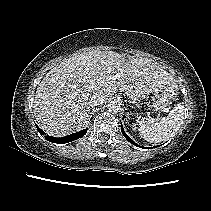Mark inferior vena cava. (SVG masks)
I'll return each instance as SVG.
<instances>
[{
    "instance_id": "602c4592",
    "label": "inferior vena cava",
    "mask_w": 211,
    "mask_h": 211,
    "mask_svg": "<svg viewBox=\"0 0 211 211\" xmlns=\"http://www.w3.org/2000/svg\"><path fill=\"white\" fill-rule=\"evenodd\" d=\"M104 102V98L103 96H100V95H93L89 101V105L91 107H94V106H97V105H100Z\"/></svg>"
}]
</instances>
